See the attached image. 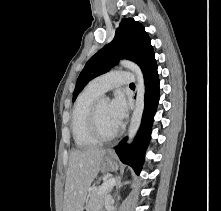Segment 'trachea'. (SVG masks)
<instances>
[{"instance_id":"obj_1","label":"trachea","mask_w":221,"mask_h":211,"mask_svg":"<svg viewBox=\"0 0 221 211\" xmlns=\"http://www.w3.org/2000/svg\"><path fill=\"white\" fill-rule=\"evenodd\" d=\"M130 86H135V84H134V83H131Z\"/></svg>"}]
</instances>
